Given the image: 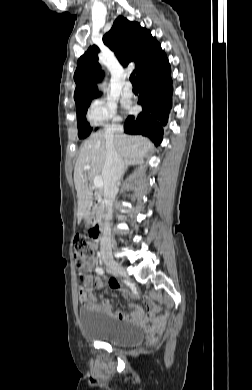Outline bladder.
I'll use <instances>...</instances> for the list:
<instances>
[{
    "instance_id": "1",
    "label": "bladder",
    "mask_w": 252,
    "mask_h": 390,
    "mask_svg": "<svg viewBox=\"0 0 252 390\" xmlns=\"http://www.w3.org/2000/svg\"><path fill=\"white\" fill-rule=\"evenodd\" d=\"M83 336L118 347H133L144 338V329L130 321L108 318L101 314L80 313Z\"/></svg>"
}]
</instances>
